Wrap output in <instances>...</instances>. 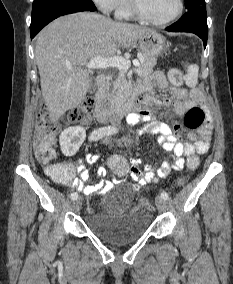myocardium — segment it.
I'll list each match as a JSON object with an SVG mask.
<instances>
[{
    "instance_id": "obj_1",
    "label": "myocardium",
    "mask_w": 233,
    "mask_h": 284,
    "mask_svg": "<svg viewBox=\"0 0 233 284\" xmlns=\"http://www.w3.org/2000/svg\"><path fill=\"white\" fill-rule=\"evenodd\" d=\"M129 2H130L131 11L136 18H138L139 20L143 22L156 25V26H163V25L172 23L173 21H175L181 16L183 9H184L183 0H177V9L173 15H171L169 18L164 19V20H156V19L149 17L144 12V10L141 7L140 0H129Z\"/></svg>"
}]
</instances>
